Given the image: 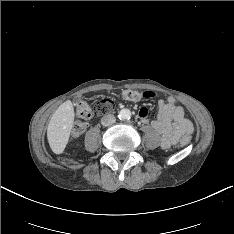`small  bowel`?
<instances>
[{
  "label": "small bowel",
  "instance_id": "obj_1",
  "mask_svg": "<svg viewBox=\"0 0 234 234\" xmlns=\"http://www.w3.org/2000/svg\"><path fill=\"white\" fill-rule=\"evenodd\" d=\"M146 93L152 96L151 92ZM123 99L138 101L142 98L124 97ZM148 114L149 111L146 107L140 108L138 116L143 124L150 123ZM151 126L162 135L161 146L165 150L171 149L183 134L193 132L191 121L185 117L184 109L177 104L172 96L158 101V115L155 120L151 121Z\"/></svg>",
  "mask_w": 234,
  "mask_h": 234
}]
</instances>
